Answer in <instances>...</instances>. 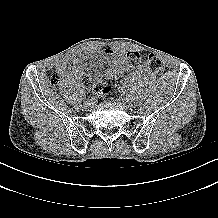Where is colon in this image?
I'll return each instance as SVG.
<instances>
[{"label": "colon", "instance_id": "5ec220e1", "mask_svg": "<svg viewBox=\"0 0 218 218\" xmlns=\"http://www.w3.org/2000/svg\"><path fill=\"white\" fill-rule=\"evenodd\" d=\"M140 55L137 52H132L127 56L125 63L122 66L112 68L108 74V78H118L128 72L129 69L136 67L140 64ZM146 65L148 69L156 75H161L164 71V65L162 61L150 54L146 59ZM61 80V74L58 71L52 73L50 82L56 85ZM113 91V87L106 82H99L95 85V92L100 97H105Z\"/></svg>", "mask_w": 218, "mask_h": 218}]
</instances>
